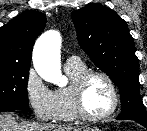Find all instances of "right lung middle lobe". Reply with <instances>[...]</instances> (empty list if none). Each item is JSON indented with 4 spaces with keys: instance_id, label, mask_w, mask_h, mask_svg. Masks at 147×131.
<instances>
[{
    "instance_id": "dd1d6c3e",
    "label": "right lung middle lobe",
    "mask_w": 147,
    "mask_h": 131,
    "mask_svg": "<svg viewBox=\"0 0 147 131\" xmlns=\"http://www.w3.org/2000/svg\"><path fill=\"white\" fill-rule=\"evenodd\" d=\"M29 66L0 64V107L28 110Z\"/></svg>"
}]
</instances>
